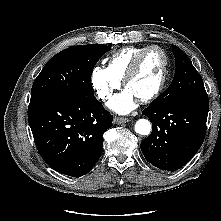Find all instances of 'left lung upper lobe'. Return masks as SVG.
<instances>
[{
    "label": "left lung upper lobe",
    "instance_id": "obj_1",
    "mask_svg": "<svg viewBox=\"0 0 221 221\" xmlns=\"http://www.w3.org/2000/svg\"><path fill=\"white\" fill-rule=\"evenodd\" d=\"M175 56V75L170 86L160 94L149 106L161 105L185 99L207 100L201 76L189 58L177 46H172Z\"/></svg>",
    "mask_w": 221,
    "mask_h": 221
}]
</instances>
